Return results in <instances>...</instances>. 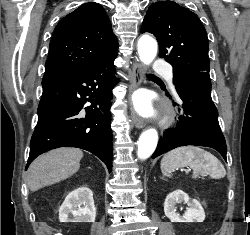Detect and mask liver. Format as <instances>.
I'll return each instance as SVG.
<instances>
[{
    "label": "liver",
    "instance_id": "6515ba94",
    "mask_svg": "<svg viewBox=\"0 0 250 235\" xmlns=\"http://www.w3.org/2000/svg\"><path fill=\"white\" fill-rule=\"evenodd\" d=\"M83 152L77 148H58L36 158L28 169L31 191L65 180L80 168Z\"/></svg>",
    "mask_w": 250,
    "mask_h": 235
}]
</instances>
